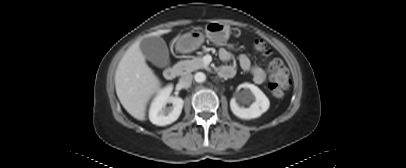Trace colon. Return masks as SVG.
I'll use <instances>...</instances> for the list:
<instances>
[{"mask_svg": "<svg viewBox=\"0 0 406 168\" xmlns=\"http://www.w3.org/2000/svg\"><path fill=\"white\" fill-rule=\"evenodd\" d=\"M254 50L256 53L265 57L271 54V49L268 44L261 40L254 43ZM268 69L270 72V91L273 96L278 98L282 97L289 87L288 72L283 62L278 58L270 60Z\"/></svg>", "mask_w": 406, "mask_h": 168, "instance_id": "5ec220e1", "label": "colon"}]
</instances>
